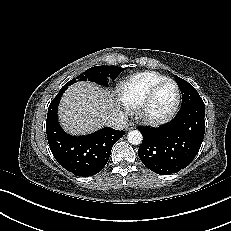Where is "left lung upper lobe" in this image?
<instances>
[{
    "instance_id": "obj_1",
    "label": "left lung upper lobe",
    "mask_w": 231,
    "mask_h": 231,
    "mask_svg": "<svg viewBox=\"0 0 231 231\" xmlns=\"http://www.w3.org/2000/svg\"><path fill=\"white\" fill-rule=\"evenodd\" d=\"M175 79L182 93V107L186 108L195 103L204 104L202 98L192 85L178 76H175Z\"/></svg>"
}]
</instances>
